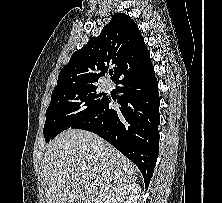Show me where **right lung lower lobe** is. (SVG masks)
<instances>
[{
    "instance_id": "obj_1",
    "label": "right lung lower lobe",
    "mask_w": 222,
    "mask_h": 203,
    "mask_svg": "<svg viewBox=\"0 0 222 203\" xmlns=\"http://www.w3.org/2000/svg\"><path fill=\"white\" fill-rule=\"evenodd\" d=\"M118 87L119 111L109 98L86 118L70 128L91 131L116 147L140 169L146 189L159 151V93L151 61L114 81Z\"/></svg>"
}]
</instances>
